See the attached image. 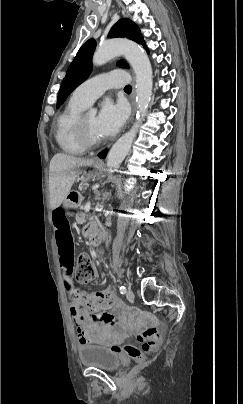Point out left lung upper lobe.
Wrapping results in <instances>:
<instances>
[{"instance_id": "left-lung-upper-lobe-1", "label": "left lung upper lobe", "mask_w": 243, "mask_h": 404, "mask_svg": "<svg viewBox=\"0 0 243 404\" xmlns=\"http://www.w3.org/2000/svg\"><path fill=\"white\" fill-rule=\"evenodd\" d=\"M108 37L116 38H128L139 44H142L147 50L143 36L139 27L128 18H122L111 28ZM96 48V41L89 39L79 49L76 57L70 64L66 76L61 84L58 99L57 108L66 100L68 95L82 82H84L91 73L92 68V56ZM148 51V50H147ZM117 66L122 68H128L127 63L124 60L117 62Z\"/></svg>"}]
</instances>
